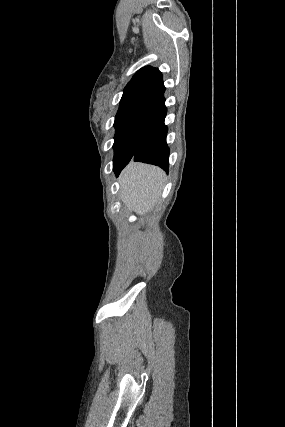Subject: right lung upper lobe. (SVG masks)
<instances>
[{"instance_id": "right-lung-upper-lobe-1", "label": "right lung upper lobe", "mask_w": 285, "mask_h": 427, "mask_svg": "<svg viewBox=\"0 0 285 427\" xmlns=\"http://www.w3.org/2000/svg\"><path fill=\"white\" fill-rule=\"evenodd\" d=\"M165 87L162 74L157 68L144 67L126 85L115 121L135 115H147L164 99Z\"/></svg>"}]
</instances>
